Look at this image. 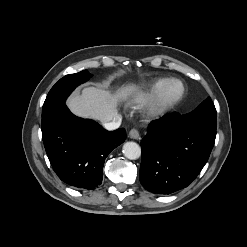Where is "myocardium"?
Listing matches in <instances>:
<instances>
[{
  "instance_id": "obj_1",
  "label": "myocardium",
  "mask_w": 247,
  "mask_h": 247,
  "mask_svg": "<svg viewBox=\"0 0 247 247\" xmlns=\"http://www.w3.org/2000/svg\"><path fill=\"white\" fill-rule=\"evenodd\" d=\"M172 84L179 85L178 93L173 97H168V89ZM185 95L184 83L176 78L167 80L157 91L147 110L149 118L157 119L172 111L183 99Z\"/></svg>"
}]
</instances>
